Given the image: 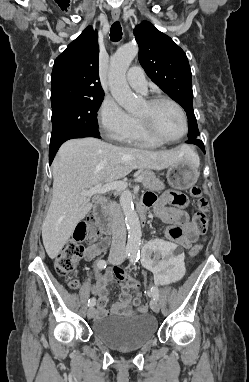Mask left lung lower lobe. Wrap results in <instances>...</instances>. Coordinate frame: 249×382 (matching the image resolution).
Returning <instances> with one entry per match:
<instances>
[{"mask_svg": "<svg viewBox=\"0 0 249 382\" xmlns=\"http://www.w3.org/2000/svg\"><path fill=\"white\" fill-rule=\"evenodd\" d=\"M186 143L195 144V145L199 146L203 150V152L205 153L204 144L198 138L188 139L186 141Z\"/></svg>", "mask_w": 249, "mask_h": 382, "instance_id": "0a47b994", "label": "left lung lower lobe"}]
</instances>
